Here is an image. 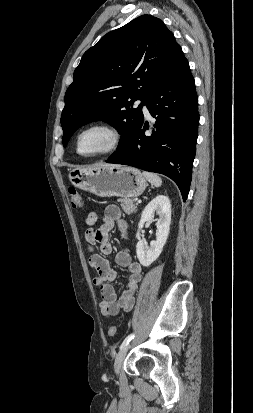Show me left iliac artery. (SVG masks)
<instances>
[{"mask_svg":"<svg viewBox=\"0 0 253 413\" xmlns=\"http://www.w3.org/2000/svg\"><path fill=\"white\" fill-rule=\"evenodd\" d=\"M134 338V334H130L128 335L124 341L122 342L120 349H122L123 347H125L132 339Z\"/></svg>","mask_w":253,"mask_h":413,"instance_id":"44dca946","label":"left iliac artery"}]
</instances>
